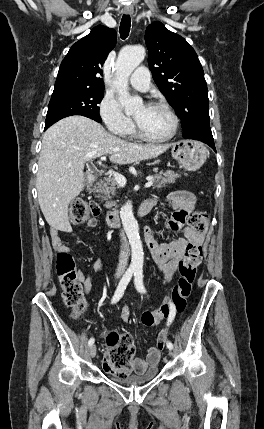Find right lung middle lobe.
I'll use <instances>...</instances> for the list:
<instances>
[{"instance_id":"1","label":"right lung middle lobe","mask_w":264,"mask_h":429,"mask_svg":"<svg viewBox=\"0 0 264 429\" xmlns=\"http://www.w3.org/2000/svg\"><path fill=\"white\" fill-rule=\"evenodd\" d=\"M104 89L62 88L54 90L46 116L45 128L71 115H82L101 122L99 104Z\"/></svg>"}]
</instances>
